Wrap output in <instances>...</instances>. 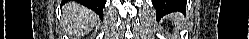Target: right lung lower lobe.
<instances>
[{
  "mask_svg": "<svg viewBox=\"0 0 249 39\" xmlns=\"http://www.w3.org/2000/svg\"><path fill=\"white\" fill-rule=\"evenodd\" d=\"M81 3L87 8L92 9L101 17L103 14V8L105 6V0H81Z\"/></svg>",
  "mask_w": 249,
  "mask_h": 39,
  "instance_id": "1",
  "label": "right lung lower lobe"
}]
</instances>
